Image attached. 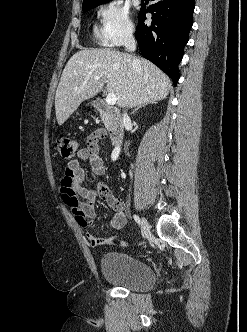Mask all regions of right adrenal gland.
Segmentation results:
<instances>
[{
	"instance_id": "1",
	"label": "right adrenal gland",
	"mask_w": 247,
	"mask_h": 332,
	"mask_svg": "<svg viewBox=\"0 0 247 332\" xmlns=\"http://www.w3.org/2000/svg\"><path fill=\"white\" fill-rule=\"evenodd\" d=\"M149 103H156V102H155V101H152V102H149ZM149 103H143V104L137 106V107L133 110L132 115H134L135 112H136L137 110H139V109L142 108V107H145V106L148 105Z\"/></svg>"
}]
</instances>
